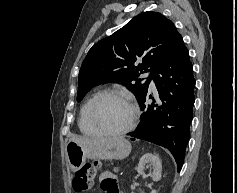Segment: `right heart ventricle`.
Instances as JSON below:
<instances>
[{
  "label": "right heart ventricle",
  "mask_w": 237,
  "mask_h": 193,
  "mask_svg": "<svg viewBox=\"0 0 237 193\" xmlns=\"http://www.w3.org/2000/svg\"><path fill=\"white\" fill-rule=\"evenodd\" d=\"M98 94H94L91 97H89L84 104L82 105L81 109H80V113H79V119H78V126L80 131L87 135V136H92V137H96V136H100L94 129L93 127L90 125L89 120H88V110L89 107L92 103V101L94 100V98L97 96Z\"/></svg>",
  "instance_id": "right-heart-ventricle-1"
}]
</instances>
